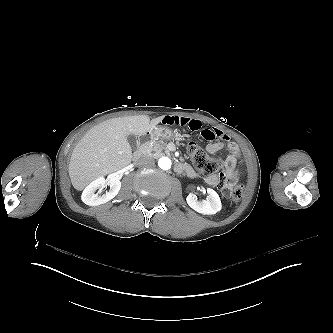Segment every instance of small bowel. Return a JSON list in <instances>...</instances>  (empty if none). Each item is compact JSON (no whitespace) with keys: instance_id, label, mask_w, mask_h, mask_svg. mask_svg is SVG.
<instances>
[{"instance_id":"small-bowel-1","label":"small bowel","mask_w":333,"mask_h":333,"mask_svg":"<svg viewBox=\"0 0 333 333\" xmlns=\"http://www.w3.org/2000/svg\"><path fill=\"white\" fill-rule=\"evenodd\" d=\"M162 123L170 127H180L191 131H198L207 141L218 139L217 141L210 142L206 146V151L210 154H214L224 147L229 150V155L224 162L225 172L227 173L236 169L237 165L241 161V152L239 146L235 142L231 141L229 136L222 130L214 127L211 128L208 123H202V121L198 118L174 115L164 118ZM183 167L192 169L188 164H183ZM219 177L220 174L208 175L205 178V181L208 185L215 186L219 182Z\"/></svg>"}]
</instances>
